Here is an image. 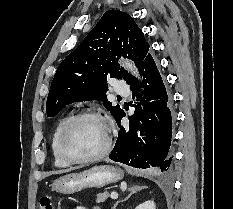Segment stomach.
Listing matches in <instances>:
<instances>
[{
  "mask_svg": "<svg viewBox=\"0 0 233 209\" xmlns=\"http://www.w3.org/2000/svg\"><path fill=\"white\" fill-rule=\"evenodd\" d=\"M124 176L120 168L109 165L94 166L78 173L60 176L52 184V190L61 194H73L85 188L103 187L116 183Z\"/></svg>",
  "mask_w": 233,
  "mask_h": 209,
  "instance_id": "obj_1",
  "label": "stomach"
}]
</instances>
